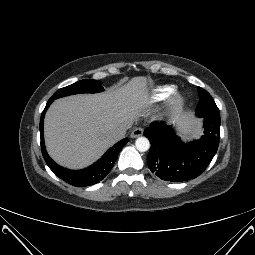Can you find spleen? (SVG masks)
I'll use <instances>...</instances> for the list:
<instances>
[{"label":"spleen","instance_id":"spleen-1","mask_svg":"<svg viewBox=\"0 0 255 255\" xmlns=\"http://www.w3.org/2000/svg\"><path fill=\"white\" fill-rule=\"evenodd\" d=\"M196 130H197V123H196V126L194 127L193 131H191V133L196 131Z\"/></svg>","mask_w":255,"mask_h":255}]
</instances>
